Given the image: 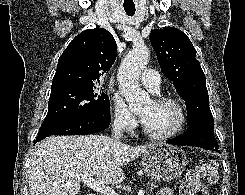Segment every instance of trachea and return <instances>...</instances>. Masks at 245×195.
I'll list each match as a JSON object with an SVG mask.
<instances>
[{
  "instance_id": "obj_1",
  "label": "trachea",
  "mask_w": 245,
  "mask_h": 195,
  "mask_svg": "<svg viewBox=\"0 0 245 195\" xmlns=\"http://www.w3.org/2000/svg\"><path fill=\"white\" fill-rule=\"evenodd\" d=\"M125 12L127 13L128 16H133L135 14V7L131 8H124Z\"/></svg>"
}]
</instances>
